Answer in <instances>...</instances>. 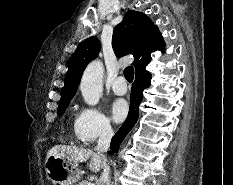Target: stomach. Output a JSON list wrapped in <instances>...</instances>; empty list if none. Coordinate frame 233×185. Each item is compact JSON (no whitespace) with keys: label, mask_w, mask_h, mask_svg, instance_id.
<instances>
[{"label":"stomach","mask_w":233,"mask_h":185,"mask_svg":"<svg viewBox=\"0 0 233 185\" xmlns=\"http://www.w3.org/2000/svg\"><path fill=\"white\" fill-rule=\"evenodd\" d=\"M45 170L53 185H74L80 179L77 166L65 158L48 156Z\"/></svg>","instance_id":"stomach-1"}]
</instances>
